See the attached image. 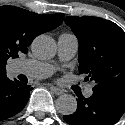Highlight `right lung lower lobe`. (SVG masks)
<instances>
[{"label":"right lung lower lobe","mask_w":125,"mask_h":125,"mask_svg":"<svg viewBox=\"0 0 125 125\" xmlns=\"http://www.w3.org/2000/svg\"><path fill=\"white\" fill-rule=\"evenodd\" d=\"M31 88L19 81H11L5 75L0 76V121L19 113L26 105Z\"/></svg>","instance_id":"obj_1"}]
</instances>
